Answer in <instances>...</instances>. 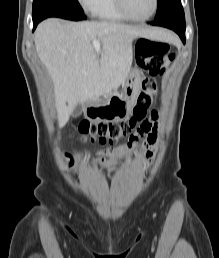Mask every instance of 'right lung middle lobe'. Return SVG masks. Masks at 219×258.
Returning <instances> with one entry per match:
<instances>
[{
	"label": "right lung middle lobe",
	"instance_id": "obj_1",
	"mask_svg": "<svg viewBox=\"0 0 219 258\" xmlns=\"http://www.w3.org/2000/svg\"><path fill=\"white\" fill-rule=\"evenodd\" d=\"M58 9L84 14L77 0H34L32 18L38 20L46 16L47 13Z\"/></svg>",
	"mask_w": 219,
	"mask_h": 258
}]
</instances>
